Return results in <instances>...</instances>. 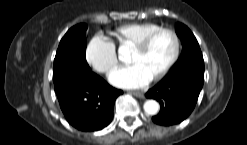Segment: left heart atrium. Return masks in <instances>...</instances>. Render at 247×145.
<instances>
[{
    "label": "left heart atrium",
    "instance_id": "left-heart-atrium-1",
    "mask_svg": "<svg viewBox=\"0 0 247 145\" xmlns=\"http://www.w3.org/2000/svg\"><path fill=\"white\" fill-rule=\"evenodd\" d=\"M152 76L140 65L131 64L115 70L110 75V81L122 88H139L147 85Z\"/></svg>",
    "mask_w": 247,
    "mask_h": 145
}]
</instances>
